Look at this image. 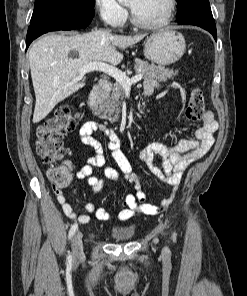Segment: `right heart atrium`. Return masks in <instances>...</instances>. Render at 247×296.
Returning <instances> with one entry per match:
<instances>
[{
  "mask_svg": "<svg viewBox=\"0 0 247 296\" xmlns=\"http://www.w3.org/2000/svg\"><path fill=\"white\" fill-rule=\"evenodd\" d=\"M100 19L112 27L122 26L127 19V10L118 0H94Z\"/></svg>",
  "mask_w": 247,
  "mask_h": 296,
  "instance_id": "1",
  "label": "right heart atrium"
}]
</instances>
